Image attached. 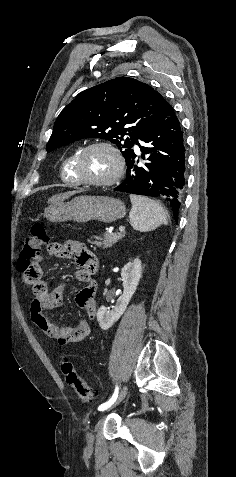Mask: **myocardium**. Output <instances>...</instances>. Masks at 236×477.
I'll list each match as a JSON object with an SVG mask.
<instances>
[{"label":"myocardium","mask_w":236,"mask_h":477,"mask_svg":"<svg viewBox=\"0 0 236 477\" xmlns=\"http://www.w3.org/2000/svg\"><path fill=\"white\" fill-rule=\"evenodd\" d=\"M94 148H104L109 151L112 156L114 157L116 169L113 175L104 180H89L82 176L81 174V164L82 160L85 155ZM125 162L121 152L116 148L114 145L104 142V141H96L86 145L83 149L80 150L78 153L75 162H74V173L75 176L80 184L90 185L94 187H108L115 184L123 175L124 173Z\"/></svg>","instance_id":"f54148a6"}]
</instances>
